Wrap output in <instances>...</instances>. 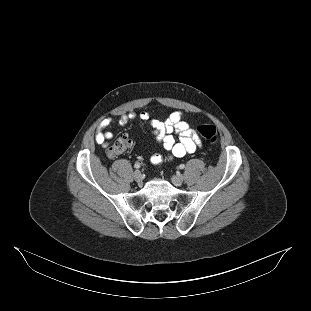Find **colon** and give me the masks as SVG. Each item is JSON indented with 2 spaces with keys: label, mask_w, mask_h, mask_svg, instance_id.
Masks as SVG:
<instances>
[{
  "label": "colon",
  "mask_w": 311,
  "mask_h": 311,
  "mask_svg": "<svg viewBox=\"0 0 311 311\" xmlns=\"http://www.w3.org/2000/svg\"><path fill=\"white\" fill-rule=\"evenodd\" d=\"M199 134L208 142L215 144L218 140V132L212 125H201L198 127ZM131 146V139L128 135H121L111 146L107 149L109 157L115 158L123 154Z\"/></svg>",
  "instance_id": "1"
}]
</instances>
